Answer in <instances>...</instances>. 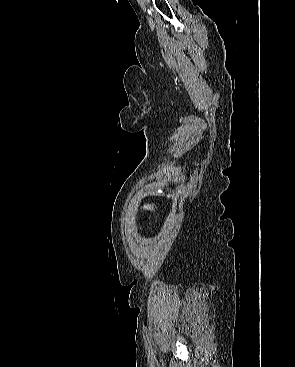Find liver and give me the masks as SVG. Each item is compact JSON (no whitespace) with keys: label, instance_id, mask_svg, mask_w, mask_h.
<instances>
[{"label":"liver","instance_id":"1","mask_svg":"<svg viewBox=\"0 0 295 367\" xmlns=\"http://www.w3.org/2000/svg\"><path fill=\"white\" fill-rule=\"evenodd\" d=\"M143 208L145 210H151V211H154L155 210L154 209V204H146V205L143 206Z\"/></svg>","mask_w":295,"mask_h":367}]
</instances>
